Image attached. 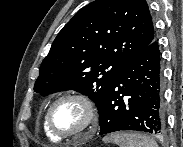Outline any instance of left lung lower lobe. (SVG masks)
I'll list each match as a JSON object with an SVG mask.
<instances>
[{
  "mask_svg": "<svg viewBox=\"0 0 183 147\" xmlns=\"http://www.w3.org/2000/svg\"><path fill=\"white\" fill-rule=\"evenodd\" d=\"M100 134L165 130L159 46L154 39L120 71L98 109Z\"/></svg>",
  "mask_w": 183,
  "mask_h": 147,
  "instance_id": "obj_1",
  "label": "left lung lower lobe"
}]
</instances>
